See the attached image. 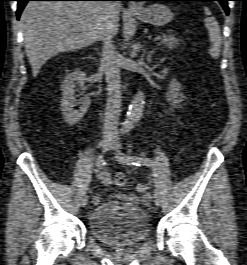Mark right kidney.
I'll list each match as a JSON object with an SVG mask.
<instances>
[{
    "mask_svg": "<svg viewBox=\"0 0 247 265\" xmlns=\"http://www.w3.org/2000/svg\"><path fill=\"white\" fill-rule=\"evenodd\" d=\"M86 75L81 70H75L68 74L61 85L62 98L61 108L63 111V118L69 125L77 124L87 112L90 106V98L84 95L79 100L76 99V87L84 88ZM79 104V109H74L75 105Z\"/></svg>",
    "mask_w": 247,
    "mask_h": 265,
    "instance_id": "right-kidney-1",
    "label": "right kidney"
}]
</instances>
